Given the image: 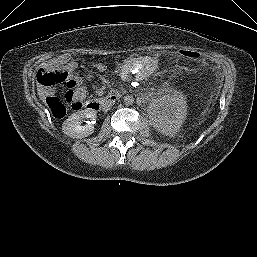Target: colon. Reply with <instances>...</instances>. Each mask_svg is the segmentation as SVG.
I'll list each match as a JSON object with an SVG mask.
<instances>
[{"label":"colon","mask_w":257,"mask_h":257,"mask_svg":"<svg viewBox=\"0 0 257 257\" xmlns=\"http://www.w3.org/2000/svg\"><path fill=\"white\" fill-rule=\"evenodd\" d=\"M180 54L190 61H198L201 58L200 52L193 49H182ZM37 80L41 87L47 90L44 94V101L51 114L55 118H63L67 111L66 106L51 92V87L65 81L64 73L58 68H41L37 73ZM69 88L65 93V102L72 109H80L85 99V91L78 84Z\"/></svg>","instance_id":"1"}]
</instances>
